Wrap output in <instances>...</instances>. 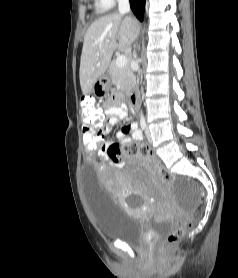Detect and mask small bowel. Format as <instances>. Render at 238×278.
Wrapping results in <instances>:
<instances>
[{
	"label": "small bowel",
	"instance_id": "c3829d8e",
	"mask_svg": "<svg viewBox=\"0 0 238 278\" xmlns=\"http://www.w3.org/2000/svg\"><path fill=\"white\" fill-rule=\"evenodd\" d=\"M127 117V109L124 104H109L104 112H103V141H104V146H103V152L99 153V157H101L104 160L108 159V148L110 145L114 144L106 140L105 134L108 130L106 126V122L109 123H116L120 120H124ZM84 137V136H83ZM116 138L118 144L120 147L123 145H126L131 142V140L135 141H140L143 138V135L141 131L138 129L137 125L135 123H128L123 126L121 130H119L116 133ZM85 144V142H84Z\"/></svg>",
	"mask_w": 238,
	"mask_h": 278
}]
</instances>
